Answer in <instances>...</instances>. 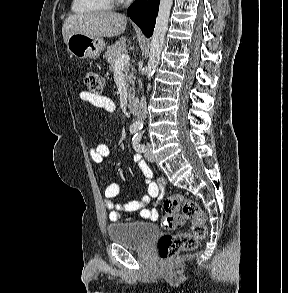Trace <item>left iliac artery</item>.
Here are the masks:
<instances>
[{
    "mask_svg": "<svg viewBox=\"0 0 288 293\" xmlns=\"http://www.w3.org/2000/svg\"><path fill=\"white\" fill-rule=\"evenodd\" d=\"M140 141H141V133H136L133 136L132 144L136 151L142 153L146 151V146L144 144H141Z\"/></svg>",
    "mask_w": 288,
    "mask_h": 293,
    "instance_id": "1",
    "label": "left iliac artery"
}]
</instances>
